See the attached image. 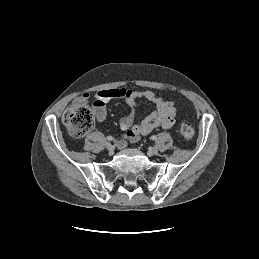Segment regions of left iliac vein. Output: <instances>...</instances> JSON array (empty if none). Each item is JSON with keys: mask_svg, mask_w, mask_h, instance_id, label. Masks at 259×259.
Wrapping results in <instances>:
<instances>
[{"mask_svg": "<svg viewBox=\"0 0 259 259\" xmlns=\"http://www.w3.org/2000/svg\"><path fill=\"white\" fill-rule=\"evenodd\" d=\"M149 154L150 155H156L158 153V148L157 147H151L149 148Z\"/></svg>", "mask_w": 259, "mask_h": 259, "instance_id": "4c4485c4", "label": "left iliac vein"}]
</instances>
